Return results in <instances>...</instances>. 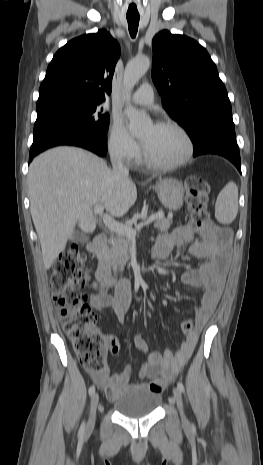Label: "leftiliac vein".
<instances>
[{
	"label": "left iliac vein",
	"instance_id": "left-iliac-vein-1",
	"mask_svg": "<svg viewBox=\"0 0 263 465\" xmlns=\"http://www.w3.org/2000/svg\"><path fill=\"white\" fill-rule=\"evenodd\" d=\"M173 394L174 398L178 407V410L180 412L181 418L183 421H186L185 415H184V408H183V401H182V394L181 391L178 387L173 389Z\"/></svg>",
	"mask_w": 263,
	"mask_h": 465
}]
</instances>
